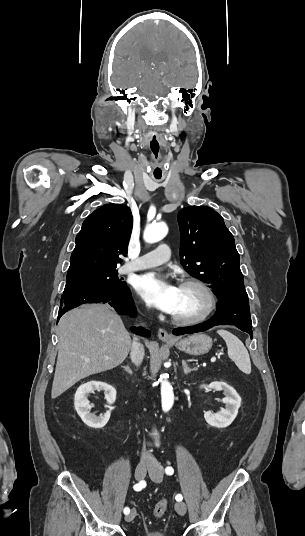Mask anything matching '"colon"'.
Returning <instances> with one entry per match:
<instances>
[{
    "mask_svg": "<svg viewBox=\"0 0 305 536\" xmlns=\"http://www.w3.org/2000/svg\"><path fill=\"white\" fill-rule=\"evenodd\" d=\"M167 509L168 504L166 501H158L152 509L153 516L156 518L162 517L166 513Z\"/></svg>",
    "mask_w": 305,
    "mask_h": 536,
    "instance_id": "5ec220e1",
    "label": "colon"
}]
</instances>
